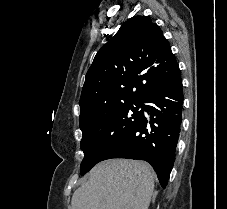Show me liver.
<instances>
[{"instance_id": "liver-1", "label": "liver", "mask_w": 227, "mask_h": 209, "mask_svg": "<svg viewBox=\"0 0 227 209\" xmlns=\"http://www.w3.org/2000/svg\"><path fill=\"white\" fill-rule=\"evenodd\" d=\"M153 191L148 163L109 159L91 169L89 181L75 191L71 209H148Z\"/></svg>"}]
</instances>
